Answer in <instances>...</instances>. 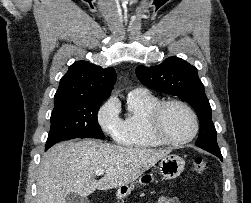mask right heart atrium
<instances>
[{
    "instance_id": "right-heart-atrium-1",
    "label": "right heart atrium",
    "mask_w": 251,
    "mask_h": 203,
    "mask_svg": "<svg viewBox=\"0 0 251 203\" xmlns=\"http://www.w3.org/2000/svg\"><path fill=\"white\" fill-rule=\"evenodd\" d=\"M98 122L102 130L112 136H115L122 125V120L119 117V108L117 101L110 98L98 112Z\"/></svg>"
}]
</instances>
